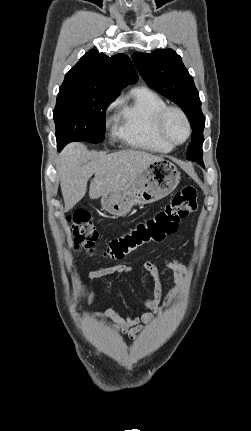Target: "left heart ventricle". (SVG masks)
I'll return each mask as SVG.
<instances>
[{
  "instance_id": "1",
  "label": "left heart ventricle",
  "mask_w": 251,
  "mask_h": 431,
  "mask_svg": "<svg viewBox=\"0 0 251 431\" xmlns=\"http://www.w3.org/2000/svg\"><path fill=\"white\" fill-rule=\"evenodd\" d=\"M167 136L174 142H181L186 137V126L182 117L175 112L168 115L165 122Z\"/></svg>"
}]
</instances>
